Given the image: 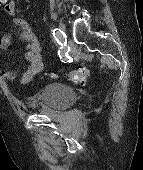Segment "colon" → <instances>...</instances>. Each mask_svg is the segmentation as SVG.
I'll return each instance as SVG.
<instances>
[{
    "label": "colon",
    "instance_id": "5ec220e1",
    "mask_svg": "<svg viewBox=\"0 0 143 170\" xmlns=\"http://www.w3.org/2000/svg\"><path fill=\"white\" fill-rule=\"evenodd\" d=\"M5 0H0V4H2ZM51 78H56L57 75L49 74ZM90 76V71L86 66H79L77 69L67 72L64 77L69 81L76 83H85Z\"/></svg>",
    "mask_w": 143,
    "mask_h": 170
}]
</instances>
